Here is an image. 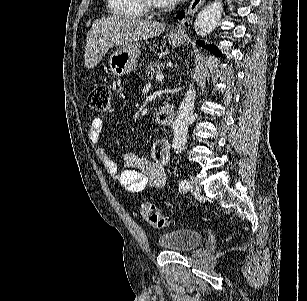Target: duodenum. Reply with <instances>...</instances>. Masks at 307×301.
<instances>
[{
	"mask_svg": "<svg viewBox=\"0 0 307 301\" xmlns=\"http://www.w3.org/2000/svg\"><path fill=\"white\" fill-rule=\"evenodd\" d=\"M175 120V111L172 104H164L157 114V122L161 125H171Z\"/></svg>",
	"mask_w": 307,
	"mask_h": 301,
	"instance_id": "obj_1",
	"label": "duodenum"
}]
</instances>
